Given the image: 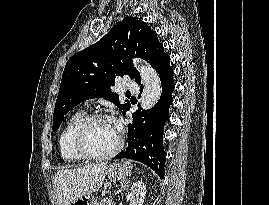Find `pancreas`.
Returning <instances> with one entry per match:
<instances>
[{
	"mask_svg": "<svg viewBox=\"0 0 269 205\" xmlns=\"http://www.w3.org/2000/svg\"><path fill=\"white\" fill-rule=\"evenodd\" d=\"M96 205H112V200L104 198L101 202L96 203Z\"/></svg>",
	"mask_w": 269,
	"mask_h": 205,
	"instance_id": "cf45deb5",
	"label": "pancreas"
}]
</instances>
